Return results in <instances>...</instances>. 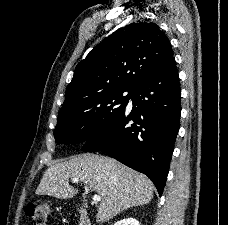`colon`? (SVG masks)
I'll return each mask as SVG.
<instances>
[{
  "label": "colon",
  "mask_w": 228,
  "mask_h": 225,
  "mask_svg": "<svg viewBox=\"0 0 228 225\" xmlns=\"http://www.w3.org/2000/svg\"><path fill=\"white\" fill-rule=\"evenodd\" d=\"M50 208L45 201H31L26 207V215L30 217L34 225H56L49 221Z\"/></svg>",
  "instance_id": "colon-1"
}]
</instances>
